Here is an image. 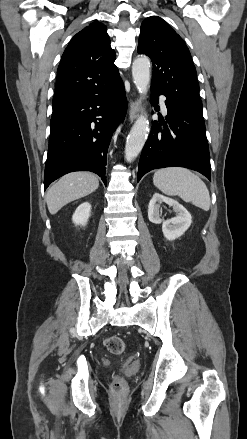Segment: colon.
I'll return each mask as SVG.
<instances>
[{
    "label": "colon",
    "instance_id": "colon-1",
    "mask_svg": "<svg viewBox=\"0 0 247 439\" xmlns=\"http://www.w3.org/2000/svg\"><path fill=\"white\" fill-rule=\"evenodd\" d=\"M104 346L112 354H121L125 350L124 341L117 336H110L104 340ZM125 389V382L119 376H114L111 383V391L114 394H121Z\"/></svg>",
    "mask_w": 247,
    "mask_h": 439
}]
</instances>
